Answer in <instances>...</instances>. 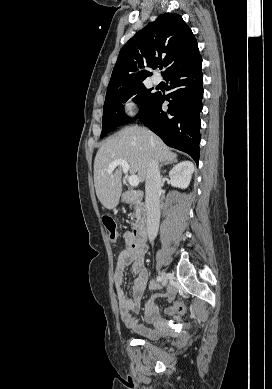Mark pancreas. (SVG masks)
<instances>
[{
  "label": "pancreas",
  "instance_id": "obj_1",
  "mask_svg": "<svg viewBox=\"0 0 272 389\" xmlns=\"http://www.w3.org/2000/svg\"><path fill=\"white\" fill-rule=\"evenodd\" d=\"M135 207V212L131 213V218H136L138 221L143 214V204L139 200H133L130 202Z\"/></svg>",
  "mask_w": 272,
  "mask_h": 389
}]
</instances>
